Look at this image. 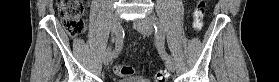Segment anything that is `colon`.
<instances>
[{
  "label": "colon",
  "instance_id": "obj_1",
  "mask_svg": "<svg viewBox=\"0 0 279 82\" xmlns=\"http://www.w3.org/2000/svg\"><path fill=\"white\" fill-rule=\"evenodd\" d=\"M205 0L197 1V7L192 14V24L195 30H200L203 24ZM59 16L62 23L71 36H78L85 31L84 22V1L82 0H57ZM118 77H128L135 73V69L128 65L116 64L113 68ZM168 73L165 70H158L155 73V82H166Z\"/></svg>",
  "mask_w": 279,
  "mask_h": 82
}]
</instances>
